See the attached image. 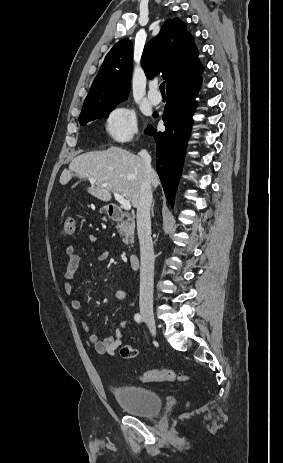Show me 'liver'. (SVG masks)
<instances>
[{
  "label": "liver",
  "mask_w": 283,
  "mask_h": 463,
  "mask_svg": "<svg viewBox=\"0 0 283 463\" xmlns=\"http://www.w3.org/2000/svg\"><path fill=\"white\" fill-rule=\"evenodd\" d=\"M72 177L97 179L87 192L97 199L109 202L111 192H117L137 207L143 181L149 178L156 189L160 184L155 170L148 174L141 157L111 146L105 151L88 152L75 157L60 176V183L67 184Z\"/></svg>",
  "instance_id": "6515ba94"
}]
</instances>
